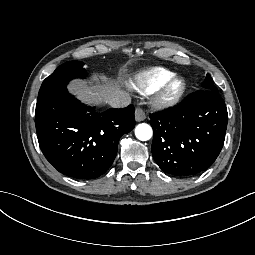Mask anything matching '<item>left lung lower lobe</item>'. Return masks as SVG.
Masks as SVG:
<instances>
[{"instance_id": "0a47b994", "label": "left lung lower lobe", "mask_w": 255, "mask_h": 255, "mask_svg": "<svg viewBox=\"0 0 255 255\" xmlns=\"http://www.w3.org/2000/svg\"><path fill=\"white\" fill-rule=\"evenodd\" d=\"M149 116L154 132L152 155L165 173L195 176L218 157L228 121L219 92L196 91L175 108Z\"/></svg>"}]
</instances>
